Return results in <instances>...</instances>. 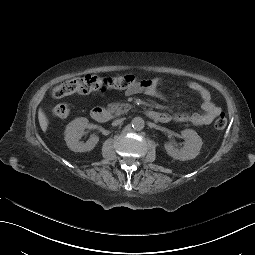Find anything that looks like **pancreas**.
Here are the masks:
<instances>
[{"label":"pancreas","instance_id":"cf45deb5","mask_svg":"<svg viewBox=\"0 0 255 255\" xmlns=\"http://www.w3.org/2000/svg\"><path fill=\"white\" fill-rule=\"evenodd\" d=\"M129 109H131V105L130 104H120V103H111L108 104V108L107 110L110 113H114L115 115H121L124 112H127Z\"/></svg>","mask_w":255,"mask_h":255}]
</instances>
